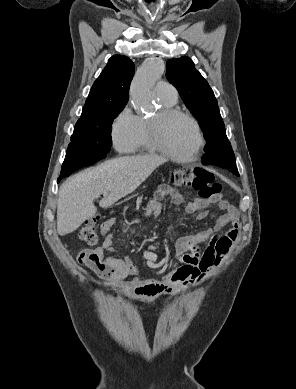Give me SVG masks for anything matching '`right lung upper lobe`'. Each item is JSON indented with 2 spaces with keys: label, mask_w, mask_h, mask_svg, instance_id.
Returning a JSON list of instances; mask_svg holds the SVG:
<instances>
[{
  "label": "right lung upper lobe",
  "mask_w": 296,
  "mask_h": 389,
  "mask_svg": "<svg viewBox=\"0 0 296 389\" xmlns=\"http://www.w3.org/2000/svg\"><path fill=\"white\" fill-rule=\"evenodd\" d=\"M134 75V64L126 56L114 55L92 86L81 118L98 112L124 107Z\"/></svg>",
  "instance_id": "right-lung-upper-lobe-1"
}]
</instances>
